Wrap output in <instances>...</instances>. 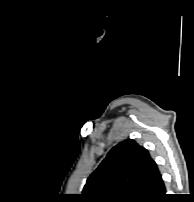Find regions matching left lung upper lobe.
<instances>
[{
    "mask_svg": "<svg viewBox=\"0 0 194 202\" xmlns=\"http://www.w3.org/2000/svg\"><path fill=\"white\" fill-rule=\"evenodd\" d=\"M162 182L148 151L129 139L111 149L82 196L86 202H152Z\"/></svg>",
    "mask_w": 194,
    "mask_h": 202,
    "instance_id": "obj_1",
    "label": "left lung upper lobe"
}]
</instances>
